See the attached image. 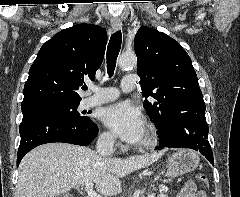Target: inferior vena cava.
<instances>
[{
    "mask_svg": "<svg viewBox=\"0 0 240 197\" xmlns=\"http://www.w3.org/2000/svg\"><path fill=\"white\" fill-rule=\"evenodd\" d=\"M115 136L113 134L101 135L97 141L96 149L99 155L109 157L114 151Z\"/></svg>",
    "mask_w": 240,
    "mask_h": 197,
    "instance_id": "602c4592",
    "label": "inferior vena cava"
}]
</instances>
